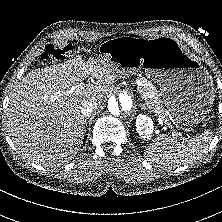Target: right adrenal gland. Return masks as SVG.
<instances>
[{
    "label": "right adrenal gland",
    "mask_w": 222,
    "mask_h": 222,
    "mask_svg": "<svg viewBox=\"0 0 222 222\" xmlns=\"http://www.w3.org/2000/svg\"><path fill=\"white\" fill-rule=\"evenodd\" d=\"M87 119H88V117H87V118H85V120H84V127H86V126H87Z\"/></svg>",
    "instance_id": "right-adrenal-gland-1"
}]
</instances>
